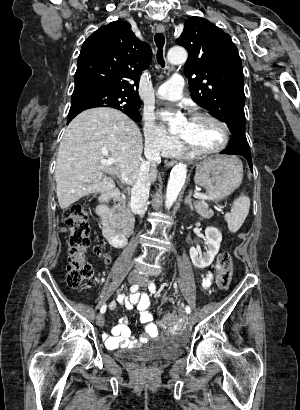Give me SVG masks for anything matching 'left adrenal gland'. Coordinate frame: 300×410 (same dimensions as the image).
<instances>
[{
  "label": "left adrenal gland",
  "mask_w": 300,
  "mask_h": 410,
  "mask_svg": "<svg viewBox=\"0 0 300 410\" xmlns=\"http://www.w3.org/2000/svg\"><path fill=\"white\" fill-rule=\"evenodd\" d=\"M191 196H192V191H190L188 196L185 197L184 204L188 205L190 210H194V206H193Z\"/></svg>",
  "instance_id": "obj_1"
}]
</instances>
